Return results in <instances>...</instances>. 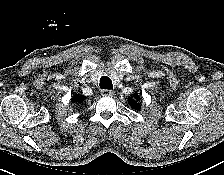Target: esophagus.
<instances>
[{
  "label": "esophagus",
  "mask_w": 224,
  "mask_h": 175,
  "mask_svg": "<svg viewBox=\"0 0 224 175\" xmlns=\"http://www.w3.org/2000/svg\"><path fill=\"white\" fill-rule=\"evenodd\" d=\"M101 94H102L103 96H112V95L114 94V92H113L112 90H109V89H103V90L101 91Z\"/></svg>",
  "instance_id": "34e87169"
}]
</instances>
